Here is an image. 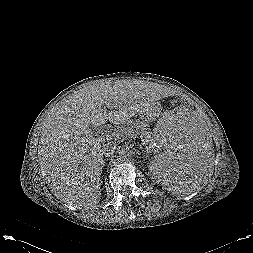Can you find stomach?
<instances>
[{
    "instance_id": "stomach-1",
    "label": "stomach",
    "mask_w": 253,
    "mask_h": 253,
    "mask_svg": "<svg viewBox=\"0 0 253 253\" xmlns=\"http://www.w3.org/2000/svg\"><path fill=\"white\" fill-rule=\"evenodd\" d=\"M139 116L143 121L151 122V121H154L157 118L158 113L156 112L155 108L152 107V105H150L148 107L143 108L139 112Z\"/></svg>"
}]
</instances>
